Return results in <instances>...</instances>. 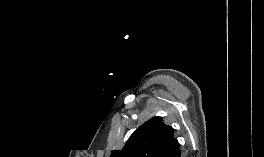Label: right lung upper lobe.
<instances>
[{"instance_id":"1","label":"right lung upper lobe","mask_w":264,"mask_h":157,"mask_svg":"<svg viewBox=\"0 0 264 157\" xmlns=\"http://www.w3.org/2000/svg\"><path fill=\"white\" fill-rule=\"evenodd\" d=\"M173 135V128L161 117H153L133 132L122 150H113L111 157H181Z\"/></svg>"}]
</instances>
